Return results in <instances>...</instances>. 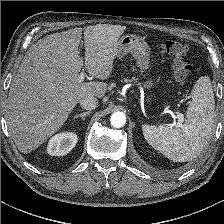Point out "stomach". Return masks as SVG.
I'll return each instance as SVG.
<instances>
[{"label":"stomach","instance_id":"obj_1","mask_svg":"<svg viewBox=\"0 0 224 224\" xmlns=\"http://www.w3.org/2000/svg\"><path fill=\"white\" fill-rule=\"evenodd\" d=\"M119 53L117 55L118 59H122L125 55L131 54L136 60L138 66L142 71L147 70L150 64V47L147 42L141 37L133 34H127L122 36L119 41ZM153 80L148 79L144 83V88L151 90L153 88ZM151 99L149 95L147 101Z\"/></svg>","mask_w":224,"mask_h":224}]
</instances>
